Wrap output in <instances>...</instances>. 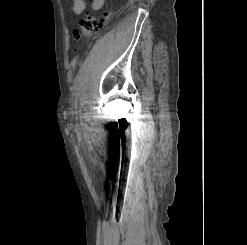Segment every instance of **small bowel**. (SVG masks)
<instances>
[{"label": "small bowel", "mask_w": 247, "mask_h": 245, "mask_svg": "<svg viewBox=\"0 0 247 245\" xmlns=\"http://www.w3.org/2000/svg\"><path fill=\"white\" fill-rule=\"evenodd\" d=\"M105 0H91V8L94 11L100 10L104 6ZM86 9L84 0H72V11L75 15H81Z\"/></svg>", "instance_id": "1"}]
</instances>
